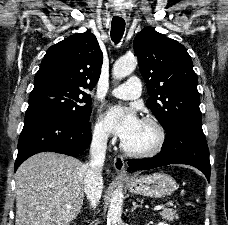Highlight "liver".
I'll return each instance as SVG.
<instances>
[{
  "mask_svg": "<svg viewBox=\"0 0 228 225\" xmlns=\"http://www.w3.org/2000/svg\"><path fill=\"white\" fill-rule=\"evenodd\" d=\"M85 173L81 161L66 155L38 153L27 159L15 173V225L72 223L83 205Z\"/></svg>",
  "mask_w": 228,
  "mask_h": 225,
  "instance_id": "1",
  "label": "liver"
}]
</instances>
